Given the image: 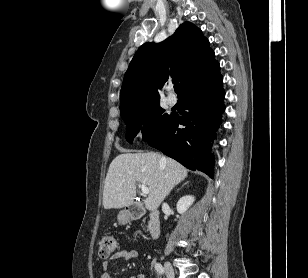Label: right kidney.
<instances>
[{"label":"right kidney","instance_id":"right-kidney-1","mask_svg":"<svg viewBox=\"0 0 308 278\" xmlns=\"http://www.w3.org/2000/svg\"><path fill=\"white\" fill-rule=\"evenodd\" d=\"M193 202H194V197L190 195H186L180 198L176 205L178 213L180 214L185 213Z\"/></svg>","mask_w":308,"mask_h":278}]
</instances>
